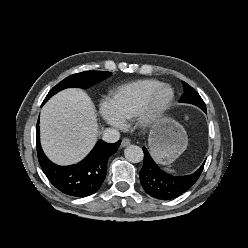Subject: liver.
<instances>
[{"label":"liver","instance_id":"obj_1","mask_svg":"<svg viewBox=\"0 0 248 248\" xmlns=\"http://www.w3.org/2000/svg\"><path fill=\"white\" fill-rule=\"evenodd\" d=\"M40 131L43 150L53 162L68 165L83 159L99 132L91 98L75 88L59 92L41 110Z\"/></svg>","mask_w":248,"mask_h":248}]
</instances>
